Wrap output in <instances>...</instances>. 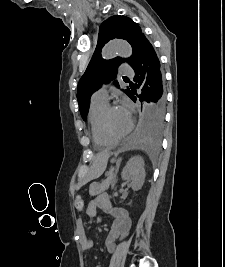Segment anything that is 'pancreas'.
<instances>
[{
    "label": "pancreas",
    "mask_w": 225,
    "mask_h": 267,
    "mask_svg": "<svg viewBox=\"0 0 225 267\" xmlns=\"http://www.w3.org/2000/svg\"><path fill=\"white\" fill-rule=\"evenodd\" d=\"M115 178L116 177H115L114 171L113 169H111L109 173L107 174V178L105 180H103L101 183H95V184L90 185V188H89L90 196L99 195L105 192L106 190H108L110 185L114 186Z\"/></svg>",
    "instance_id": "cf45deb5"
}]
</instances>
